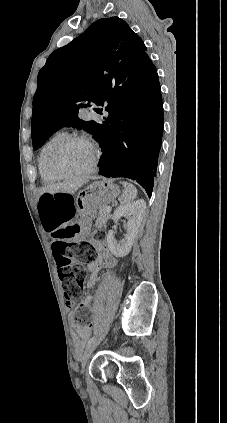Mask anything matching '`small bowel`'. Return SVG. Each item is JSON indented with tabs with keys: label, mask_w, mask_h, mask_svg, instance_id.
Returning <instances> with one entry per match:
<instances>
[{
	"label": "small bowel",
	"mask_w": 227,
	"mask_h": 423,
	"mask_svg": "<svg viewBox=\"0 0 227 423\" xmlns=\"http://www.w3.org/2000/svg\"><path fill=\"white\" fill-rule=\"evenodd\" d=\"M64 226H61L58 230H52V231L45 229L46 232L48 233V235L53 240V243L57 239V232L59 230H61ZM98 249H99L98 256L92 262L88 263V266H87V268L90 272V276H89V279L87 281L88 287H91V286L96 284L99 271H100V269L102 268L103 265H105L106 267H109V268H112L116 265V258L108 251V249L106 248V246L104 244H99ZM66 305H67V307L71 308L74 305V302L73 301H66ZM99 317H100V312H99V310L96 309L93 312V319L95 321H97L99 319ZM72 326H73V328L76 331L77 336H78V338L75 341V345H76L77 350L80 351L82 349V347L85 345L88 338L90 337V335L92 333V328H91V326L79 325L78 323L75 322L74 317H72Z\"/></svg>",
	"instance_id": "c3829d8e"
}]
</instances>
